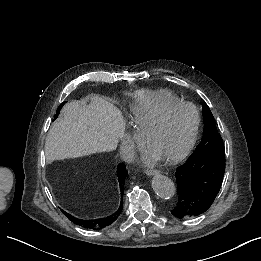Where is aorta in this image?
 <instances>
[{"label": "aorta", "instance_id": "aorta-1", "mask_svg": "<svg viewBox=\"0 0 261 261\" xmlns=\"http://www.w3.org/2000/svg\"><path fill=\"white\" fill-rule=\"evenodd\" d=\"M152 188L154 192L163 199H170L176 193L175 184L173 181L164 175H155L152 179Z\"/></svg>", "mask_w": 261, "mask_h": 261}]
</instances>
